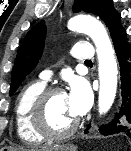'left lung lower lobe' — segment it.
I'll use <instances>...</instances> for the list:
<instances>
[{
    "label": "left lung lower lobe",
    "mask_w": 131,
    "mask_h": 151,
    "mask_svg": "<svg viewBox=\"0 0 131 151\" xmlns=\"http://www.w3.org/2000/svg\"><path fill=\"white\" fill-rule=\"evenodd\" d=\"M126 35L123 33L113 39L121 69L122 101L112 120L99 128L103 135L123 134L131 137V45Z\"/></svg>",
    "instance_id": "1"
}]
</instances>
